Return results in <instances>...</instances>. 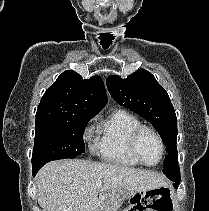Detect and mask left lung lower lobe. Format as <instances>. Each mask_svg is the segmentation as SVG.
I'll return each mask as SVG.
<instances>
[{
	"instance_id": "1",
	"label": "left lung lower lobe",
	"mask_w": 209,
	"mask_h": 211,
	"mask_svg": "<svg viewBox=\"0 0 209 211\" xmlns=\"http://www.w3.org/2000/svg\"><path fill=\"white\" fill-rule=\"evenodd\" d=\"M166 176L174 183V186L177 188L180 183V174H168Z\"/></svg>"
}]
</instances>
